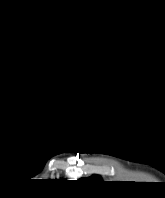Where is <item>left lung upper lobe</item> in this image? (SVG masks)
<instances>
[{
  "mask_svg": "<svg viewBox=\"0 0 165 198\" xmlns=\"http://www.w3.org/2000/svg\"><path fill=\"white\" fill-rule=\"evenodd\" d=\"M99 178H100L99 176H97V175H93L92 177H90V178H89V179H87V180H90V181H96V180H100Z\"/></svg>",
  "mask_w": 165,
  "mask_h": 198,
  "instance_id": "obj_1",
  "label": "left lung upper lobe"
}]
</instances>
